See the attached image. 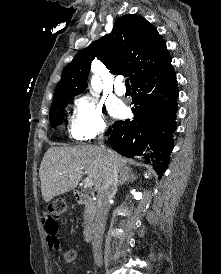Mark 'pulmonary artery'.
<instances>
[{
	"mask_svg": "<svg viewBox=\"0 0 221 274\" xmlns=\"http://www.w3.org/2000/svg\"><path fill=\"white\" fill-rule=\"evenodd\" d=\"M114 91L117 95H124L126 92V88L122 82V78L118 77L116 79L115 85H114Z\"/></svg>",
	"mask_w": 221,
	"mask_h": 274,
	"instance_id": "1",
	"label": "pulmonary artery"
}]
</instances>
